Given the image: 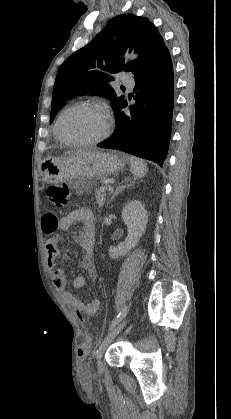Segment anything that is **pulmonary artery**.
<instances>
[{
    "instance_id": "1",
    "label": "pulmonary artery",
    "mask_w": 231,
    "mask_h": 419,
    "mask_svg": "<svg viewBox=\"0 0 231 419\" xmlns=\"http://www.w3.org/2000/svg\"><path fill=\"white\" fill-rule=\"evenodd\" d=\"M123 84L127 88H132L134 86L135 82H134L132 77H125V78H123Z\"/></svg>"
}]
</instances>
